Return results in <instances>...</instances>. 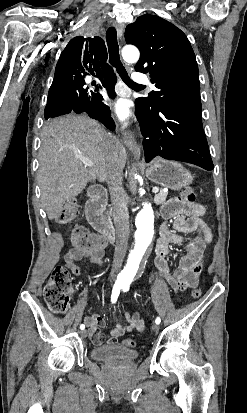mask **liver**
Masks as SVG:
<instances>
[{
	"mask_svg": "<svg viewBox=\"0 0 247 413\" xmlns=\"http://www.w3.org/2000/svg\"><path fill=\"white\" fill-rule=\"evenodd\" d=\"M38 182L48 219H56L65 202L75 198L92 178L107 180L108 168L118 160L124 168L127 154L121 144L114 150L109 132L89 116L67 114L43 126ZM83 158L92 160L85 166Z\"/></svg>",
	"mask_w": 247,
	"mask_h": 413,
	"instance_id": "obj_1",
	"label": "liver"
}]
</instances>
